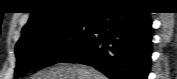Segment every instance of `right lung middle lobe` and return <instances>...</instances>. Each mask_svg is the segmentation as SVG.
<instances>
[{
	"label": "right lung middle lobe",
	"instance_id": "right-lung-middle-lobe-1",
	"mask_svg": "<svg viewBox=\"0 0 177 79\" xmlns=\"http://www.w3.org/2000/svg\"><path fill=\"white\" fill-rule=\"evenodd\" d=\"M92 22L80 20L51 25L21 37L15 47V77L60 62L89 37Z\"/></svg>",
	"mask_w": 177,
	"mask_h": 79
}]
</instances>
